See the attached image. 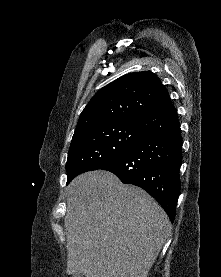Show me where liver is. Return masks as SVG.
<instances>
[{
    "label": "liver",
    "mask_w": 221,
    "mask_h": 277,
    "mask_svg": "<svg viewBox=\"0 0 221 277\" xmlns=\"http://www.w3.org/2000/svg\"><path fill=\"white\" fill-rule=\"evenodd\" d=\"M67 195V274L147 277L171 232L160 205L102 170L74 178Z\"/></svg>",
    "instance_id": "obj_1"
}]
</instances>
